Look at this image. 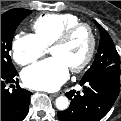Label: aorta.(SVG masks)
I'll return each instance as SVG.
<instances>
[{
    "instance_id": "aorta-1",
    "label": "aorta",
    "mask_w": 121,
    "mask_h": 121,
    "mask_svg": "<svg viewBox=\"0 0 121 121\" xmlns=\"http://www.w3.org/2000/svg\"><path fill=\"white\" fill-rule=\"evenodd\" d=\"M69 106V100L65 96H60L56 99V107L59 110H65Z\"/></svg>"
}]
</instances>
